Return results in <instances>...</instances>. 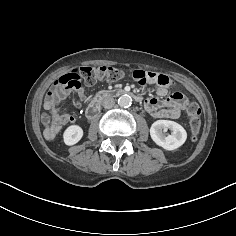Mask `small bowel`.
Masks as SVG:
<instances>
[{
	"label": "small bowel",
	"mask_w": 236,
	"mask_h": 236,
	"mask_svg": "<svg viewBox=\"0 0 236 236\" xmlns=\"http://www.w3.org/2000/svg\"><path fill=\"white\" fill-rule=\"evenodd\" d=\"M142 71V70H136ZM144 72V71H143ZM149 75L146 84L153 86L160 97H166L171 85V79L163 74L145 72ZM73 103L76 108H81L82 103L86 100L85 90L76 89L72 92ZM59 100L48 96L44 101V114L42 122L44 125V136L47 140H54L61 132L64 126L74 123L75 118L67 113H62L59 108ZM189 105L188 99L180 92H174L171 96L159 100L149 97L145 100V108L149 114L156 118L177 119L181 116L182 111L186 110Z\"/></svg>",
	"instance_id": "small-bowel-1"
}]
</instances>
